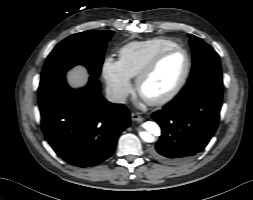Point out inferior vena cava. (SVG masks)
I'll return each instance as SVG.
<instances>
[{
  "label": "inferior vena cava",
  "mask_w": 253,
  "mask_h": 200,
  "mask_svg": "<svg viewBox=\"0 0 253 200\" xmlns=\"http://www.w3.org/2000/svg\"><path fill=\"white\" fill-rule=\"evenodd\" d=\"M127 95L119 90L108 89L106 99L112 103H125Z\"/></svg>",
  "instance_id": "inferior-vena-cava-1"
}]
</instances>
